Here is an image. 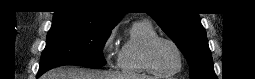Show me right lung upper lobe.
Listing matches in <instances>:
<instances>
[{"mask_svg":"<svg viewBox=\"0 0 255 79\" xmlns=\"http://www.w3.org/2000/svg\"><path fill=\"white\" fill-rule=\"evenodd\" d=\"M55 12L53 25L66 24L79 27L112 29L124 11L112 9L102 0H71Z\"/></svg>","mask_w":255,"mask_h":79,"instance_id":"obj_1","label":"right lung upper lobe"}]
</instances>
